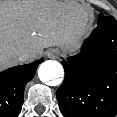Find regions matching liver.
Masks as SVG:
<instances>
[{"label": "liver", "instance_id": "obj_1", "mask_svg": "<svg viewBox=\"0 0 117 117\" xmlns=\"http://www.w3.org/2000/svg\"><path fill=\"white\" fill-rule=\"evenodd\" d=\"M91 20V12L75 4H0V68L35 58L44 48L72 45ZM28 50L32 54L22 57Z\"/></svg>", "mask_w": 117, "mask_h": 117}]
</instances>
